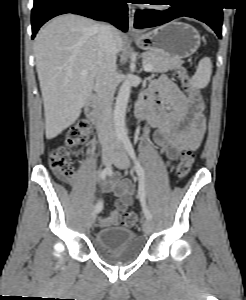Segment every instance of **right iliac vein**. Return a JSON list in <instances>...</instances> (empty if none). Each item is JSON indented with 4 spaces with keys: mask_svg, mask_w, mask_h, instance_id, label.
<instances>
[{
    "mask_svg": "<svg viewBox=\"0 0 246 300\" xmlns=\"http://www.w3.org/2000/svg\"><path fill=\"white\" fill-rule=\"evenodd\" d=\"M115 158V154L113 152H104L102 155V161L105 165H109L113 159ZM96 217V213L93 211L88 218L89 225H92Z\"/></svg>",
    "mask_w": 246,
    "mask_h": 300,
    "instance_id": "right-iliac-vein-1",
    "label": "right iliac vein"
}]
</instances>
